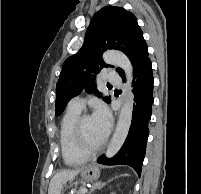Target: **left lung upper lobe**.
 Returning <instances> with one entry per match:
<instances>
[{
    "label": "left lung upper lobe",
    "instance_id": "5c2ea615",
    "mask_svg": "<svg viewBox=\"0 0 201 194\" xmlns=\"http://www.w3.org/2000/svg\"><path fill=\"white\" fill-rule=\"evenodd\" d=\"M142 40V30L131 12L117 6H106L98 11L91 20L83 46L62 66L56 86V115L83 89L100 97L93 80L103 67H112L102 60L105 50H120L132 60ZM117 71L120 76L124 74L121 68ZM104 100L110 102L109 97Z\"/></svg>",
    "mask_w": 201,
    "mask_h": 194
}]
</instances>
